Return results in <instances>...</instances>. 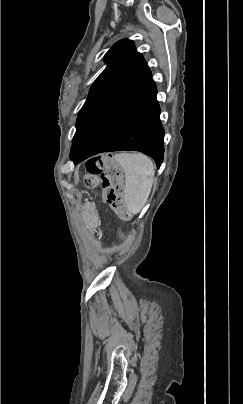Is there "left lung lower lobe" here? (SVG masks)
<instances>
[{
    "mask_svg": "<svg viewBox=\"0 0 243 404\" xmlns=\"http://www.w3.org/2000/svg\"><path fill=\"white\" fill-rule=\"evenodd\" d=\"M157 89L152 78L99 116L77 153L74 164L101 152L136 150L161 166L164 129L159 119Z\"/></svg>",
    "mask_w": 243,
    "mask_h": 404,
    "instance_id": "left-lung-lower-lobe-1",
    "label": "left lung lower lobe"
}]
</instances>
